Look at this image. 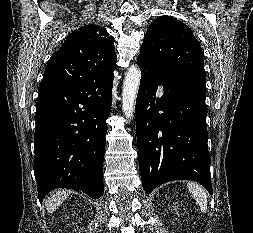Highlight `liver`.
<instances>
[{"mask_svg":"<svg viewBox=\"0 0 253 233\" xmlns=\"http://www.w3.org/2000/svg\"><path fill=\"white\" fill-rule=\"evenodd\" d=\"M69 196V191L56 190L48 197L45 202L46 209L49 213L54 212Z\"/></svg>","mask_w":253,"mask_h":233,"instance_id":"liver-1","label":"liver"}]
</instances>
